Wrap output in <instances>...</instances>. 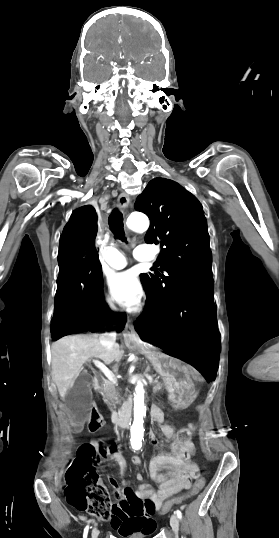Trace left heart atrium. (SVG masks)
<instances>
[{
    "mask_svg": "<svg viewBox=\"0 0 279 538\" xmlns=\"http://www.w3.org/2000/svg\"><path fill=\"white\" fill-rule=\"evenodd\" d=\"M108 286L115 299L129 309L136 308L143 296L141 283L133 270L110 274Z\"/></svg>",
    "mask_w": 279,
    "mask_h": 538,
    "instance_id": "39dd6f15",
    "label": "left heart atrium"
}]
</instances>
